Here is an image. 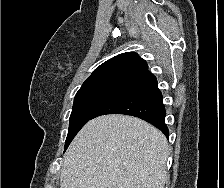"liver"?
I'll use <instances>...</instances> for the list:
<instances>
[{
	"label": "liver",
	"mask_w": 224,
	"mask_h": 188,
	"mask_svg": "<svg viewBox=\"0 0 224 188\" xmlns=\"http://www.w3.org/2000/svg\"><path fill=\"white\" fill-rule=\"evenodd\" d=\"M168 143L132 116L104 115L76 135L63 161L60 188H164Z\"/></svg>",
	"instance_id": "liver-1"
}]
</instances>
